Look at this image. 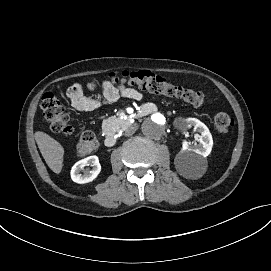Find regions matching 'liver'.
<instances>
[{"label": "liver", "instance_id": "liver-1", "mask_svg": "<svg viewBox=\"0 0 271 271\" xmlns=\"http://www.w3.org/2000/svg\"><path fill=\"white\" fill-rule=\"evenodd\" d=\"M35 140L49 168L54 173L59 174L63 167V147L59 142L43 132H36Z\"/></svg>", "mask_w": 271, "mask_h": 271}]
</instances>
